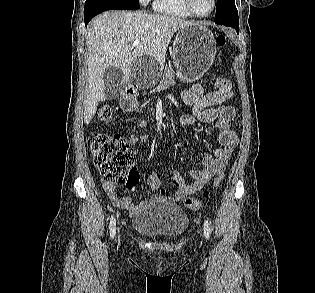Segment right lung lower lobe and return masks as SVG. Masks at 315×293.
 <instances>
[{
	"instance_id": "98d812e1",
	"label": "right lung lower lobe",
	"mask_w": 315,
	"mask_h": 293,
	"mask_svg": "<svg viewBox=\"0 0 315 293\" xmlns=\"http://www.w3.org/2000/svg\"><path fill=\"white\" fill-rule=\"evenodd\" d=\"M140 8L139 5L126 4L118 0H86L84 6V22H88L97 14L106 10H135Z\"/></svg>"
}]
</instances>
